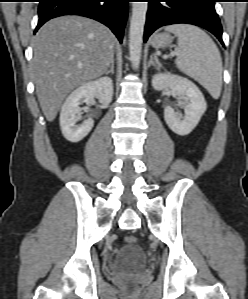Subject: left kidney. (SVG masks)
<instances>
[{
  "label": "left kidney",
  "instance_id": "left-kidney-1",
  "mask_svg": "<svg viewBox=\"0 0 248 299\" xmlns=\"http://www.w3.org/2000/svg\"><path fill=\"white\" fill-rule=\"evenodd\" d=\"M152 86L161 91L169 87L179 97V105L184 109L180 117L171 106L164 110V118L168 127L180 136L188 135L199 123L207 109V104L199 88L190 80L169 73L156 74L152 78Z\"/></svg>",
  "mask_w": 248,
  "mask_h": 299
}]
</instances>
